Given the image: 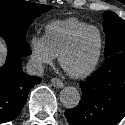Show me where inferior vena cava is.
Returning <instances> with one entry per match:
<instances>
[{
  "mask_svg": "<svg viewBox=\"0 0 125 125\" xmlns=\"http://www.w3.org/2000/svg\"><path fill=\"white\" fill-rule=\"evenodd\" d=\"M26 69L29 75L42 76L44 72V67L42 63L33 59L29 60Z\"/></svg>",
  "mask_w": 125,
  "mask_h": 125,
  "instance_id": "602c4592",
  "label": "inferior vena cava"
}]
</instances>
